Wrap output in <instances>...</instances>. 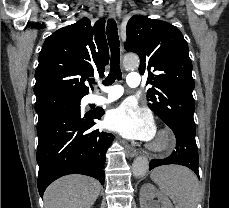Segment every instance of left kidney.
<instances>
[{"mask_svg":"<svg viewBox=\"0 0 229 208\" xmlns=\"http://www.w3.org/2000/svg\"><path fill=\"white\" fill-rule=\"evenodd\" d=\"M153 198H158V202L162 204V208H172V204L167 196L158 192L152 184H144L140 190L141 208H153V204L150 202Z\"/></svg>","mask_w":229,"mask_h":208,"instance_id":"left-kidney-1","label":"left kidney"}]
</instances>
